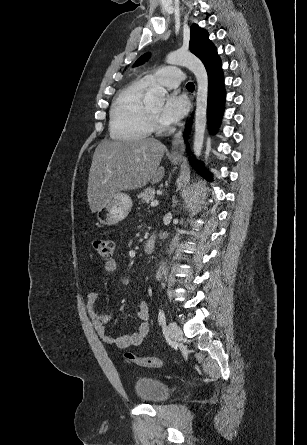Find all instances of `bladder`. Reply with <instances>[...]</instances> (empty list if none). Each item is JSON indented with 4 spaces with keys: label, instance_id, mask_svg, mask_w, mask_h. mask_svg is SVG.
Returning a JSON list of instances; mask_svg holds the SVG:
<instances>
[{
    "label": "bladder",
    "instance_id": "obj_1",
    "mask_svg": "<svg viewBox=\"0 0 307 445\" xmlns=\"http://www.w3.org/2000/svg\"><path fill=\"white\" fill-rule=\"evenodd\" d=\"M134 391L140 401L151 405L164 402L171 394L166 383L151 377L138 379L134 384Z\"/></svg>",
    "mask_w": 307,
    "mask_h": 445
}]
</instances>
